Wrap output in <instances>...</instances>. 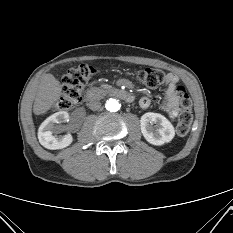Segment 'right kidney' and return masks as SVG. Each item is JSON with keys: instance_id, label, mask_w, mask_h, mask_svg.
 <instances>
[{"instance_id": "1", "label": "right kidney", "mask_w": 233, "mask_h": 233, "mask_svg": "<svg viewBox=\"0 0 233 233\" xmlns=\"http://www.w3.org/2000/svg\"><path fill=\"white\" fill-rule=\"evenodd\" d=\"M68 121L69 114L65 111H60L49 116L40 125L38 130V139L40 144L51 150L63 149L69 146L73 141L72 135L66 134L63 136H57V134L62 132L64 128L56 125Z\"/></svg>"}]
</instances>
